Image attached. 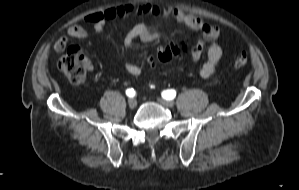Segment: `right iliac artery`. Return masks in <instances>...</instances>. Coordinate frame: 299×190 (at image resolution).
I'll list each match as a JSON object with an SVG mask.
<instances>
[{"label": "right iliac artery", "mask_w": 299, "mask_h": 190, "mask_svg": "<svg viewBox=\"0 0 299 190\" xmlns=\"http://www.w3.org/2000/svg\"><path fill=\"white\" fill-rule=\"evenodd\" d=\"M126 95L129 97H134L136 95V92L134 91V89L129 88L126 90Z\"/></svg>", "instance_id": "82829eb1"}]
</instances>
